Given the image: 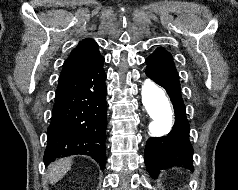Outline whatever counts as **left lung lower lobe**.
I'll list each match as a JSON object with an SVG mask.
<instances>
[{
  "label": "left lung lower lobe",
  "instance_id": "1",
  "mask_svg": "<svg viewBox=\"0 0 238 190\" xmlns=\"http://www.w3.org/2000/svg\"><path fill=\"white\" fill-rule=\"evenodd\" d=\"M145 63L146 75L166 90L175 113V122L168 135L151 137L147 140L145 164L148 172L152 177H156L159 170L174 165H183L193 170V148L189 140L190 126L172 55L155 50L146 58Z\"/></svg>",
  "mask_w": 238,
  "mask_h": 190
}]
</instances>
